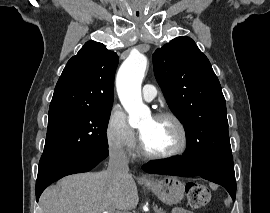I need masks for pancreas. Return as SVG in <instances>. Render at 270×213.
Masks as SVG:
<instances>
[{
  "mask_svg": "<svg viewBox=\"0 0 270 213\" xmlns=\"http://www.w3.org/2000/svg\"><path fill=\"white\" fill-rule=\"evenodd\" d=\"M155 213H166L162 208L154 207Z\"/></svg>",
  "mask_w": 270,
  "mask_h": 213,
  "instance_id": "pancreas-1",
  "label": "pancreas"
}]
</instances>
